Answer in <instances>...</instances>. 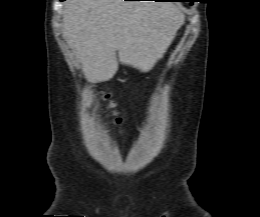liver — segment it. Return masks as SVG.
<instances>
[{"mask_svg": "<svg viewBox=\"0 0 260 217\" xmlns=\"http://www.w3.org/2000/svg\"><path fill=\"white\" fill-rule=\"evenodd\" d=\"M184 21L169 2L68 0L63 10V37L88 81L111 79L119 61L141 72L151 70Z\"/></svg>", "mask_w": 260, "mask_h": 217, "instance_id": "1", "label": "liver"}]
</instances>
